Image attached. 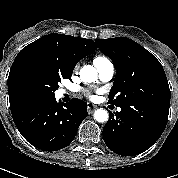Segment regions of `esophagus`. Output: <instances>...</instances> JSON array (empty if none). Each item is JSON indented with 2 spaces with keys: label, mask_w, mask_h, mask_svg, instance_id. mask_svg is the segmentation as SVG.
I'll return each instance as SVG.
<instances>
[{
  "label": "esophagus",
  "mask_w": 178,
  "mask_h": 178,
  "mask_svg": "<svg viewBox=\"0 0 178 178\" xmlns=\"http://www.w3.org/2000/svg\"><path fill=\"white\" fill-rule=\"evenodd\" d=\"M97 108V106H95L94 104L92 103H87V110H88V113L89 114H92L93 111Z\"/></svg>",
  "instance_id": "esophagus-1"
}]
</instances>
